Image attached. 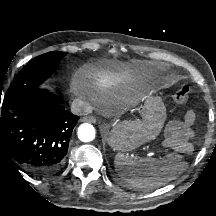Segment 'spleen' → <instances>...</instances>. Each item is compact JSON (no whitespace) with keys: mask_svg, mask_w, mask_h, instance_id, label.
I'll use <instances>...</instances> for the list:
<instances>
[{"mask_svg":"<svg viewBox=\"0 0 216 216\" xmlns=\"http://www.w3.org/2000/svg\"><path fill=\"white\" fill-rule=\"evenodd\" d=\"M114 166L121 179L135 189L152 190L176 179L184 168L173 160L133 158L117 153Z\"/></svg>","mask_w":216,"mask_h":216,"instance_id":"spleen-1","label":"spleen"}]
</instances>
